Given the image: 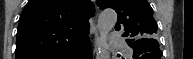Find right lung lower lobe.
I'll return each instance as SVG.
<instances>
[{
	"mask_svg": "<svg viewBox=\"0 0 193 59\" xmlns=\"http://www.w3.org/2000/svg\"><path fill=\"white\" fill-rule=\"evenodd\" d=\"M91 47L89 39L71 50L70 52L66 53L59 59H91Z\"/></svg>",
	"mask_w": 193,
	"mask_h": 59,
	"instance_id": "98d812e1",
	"label": "right lung lower lobe"
}]
</instances>
